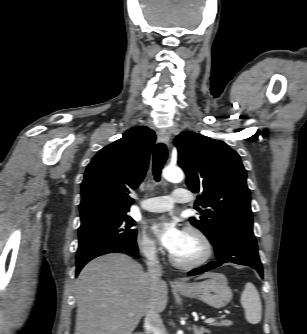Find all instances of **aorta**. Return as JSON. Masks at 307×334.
Instances as JSON below:
<instances>
[{"instance_id": "1", "label": "aorta", "mask_w": 307, "mask_h": 334, "mask_svg": "<svg viewBox=\"0 0 307 334\" xmlns=\"http://www.w3.org/2000/svg\"><path fill=\"white\" fill-rule=\"evenodd\" d=\"M163 177L170 182L178 183L183 180L184 175L180 168L169 166L163 170Z\"/></svg>"}]
</instances>
